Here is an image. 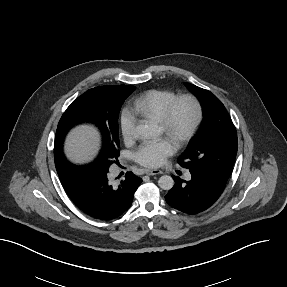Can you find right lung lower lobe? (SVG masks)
Wrapping results in <instances>:
<instances>
[{"label":"right lung lower lobe","instance_id":"obj_1","mask_svg":"<svg viewBox=\"0 0 287 287\" xmlns=\"http://www.w3.org/2000/svg\"><path fill=\"white\" fill-rule=\"evenodd\" d=\"M60 181L71 200L87 215L112 220L129 209L142 179L127 172L125 179L113 185L108 171L96 166L56 165Z\"/></svg>","mask_w":287,"mask_h":287}]
</instances>
